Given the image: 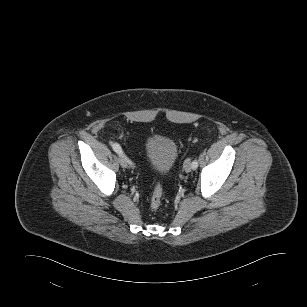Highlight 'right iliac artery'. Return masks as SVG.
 Masks as SVG:
<instances>
[{
    "instance_id": "1",
    "label": "right iliac artery",
    "mask_w": 307,
    "mask_h": 307,
    "mask_svg": "<svg viewBox=\"0 0 307 307\" xmlns=\"http://www.w3.org/2000/svg\"><path fill=\"white\" fill-rule=\"evenodd\" d=\"M112 148H113V150H114L117 154H119L120 156L123 155L122 148H121V146H120L118 143H114V144L112 145ZM126 159H127V158H126ZM127 161H128L129 164L132 165V162H131L130 160H127Z\"/></svg>"
}]
</instances>
